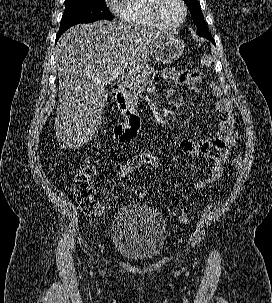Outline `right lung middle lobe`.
<instances>
[{
    "label": "right lung middle lobe",
    "mask_w": 272,
    "mask_h": 303,
    "mask_svg": "<svg viewBox=\"0 0 272 303\" xmlns=\"http://www.w3.org/2000/svg\"><path fill=\"white\" fill-rule=\"evenodd\" d=\"M102 19H113L105 0H65V10L58 33H64L69 27L79 23Z\"/></svg>",
    "instance_id": "1"
}]
</instances>
